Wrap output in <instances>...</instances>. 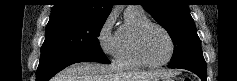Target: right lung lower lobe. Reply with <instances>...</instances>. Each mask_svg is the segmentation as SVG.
<instances>
[{
	"label": "right lung lower lobe",
	"instance_id": "1",
	"mask_svg": "<svg viewBox=\"0 0 237 81\" xmlns=\"http://www.w3.org/2000/svg\"><path fill=\"white\" fill-rule=\"evenodd\" d=\"M78 62L110 64L103 56L90 54H43L36 72V81H48L65 67Z\"/></svg>",
	"mask_w": 237,
	"mask_h": 81
}]
</instances>
